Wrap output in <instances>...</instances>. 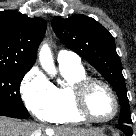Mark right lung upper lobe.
I'll use <instances>...</instances> for the list:
<instances>
[{"label": "right lung upper lobe", "mask_w": 136, "mask_h": 136, "mask_svg": "<svg viewBox=\"0 0 136 136\" xmlns=\"http://www.w3.org/2000/svg\"><path fill=\"white\" fill-rule=\"evenodd\" d=\"M46 22L14 11L0 12V68L30 70L44 37Z\"/></svg>", "instance_id": "obj_1"}]
</instances>
